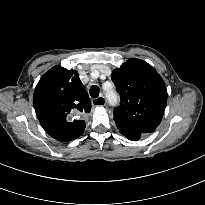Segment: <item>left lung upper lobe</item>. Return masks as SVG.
I'll return each instance as SVG.
<instances>
[{
	"instance_id": "1",
	"label": "left lung upper lobe",
	"mask_w": 205,
	"mask_h": 205,
	"mask_svg": "<svg viewBox=\"0 0 205 205\" xmlns=\"http://www.w3.org/2000/svg\"><path fill=\"white\" fill-rule=\"evenodd\" d=\"M111 79L120 94L114 110L116 123L142 133L160 124L167 102L165 83L147 62L132 58L113 71Z\"/></svg>"
}]
</instances>
